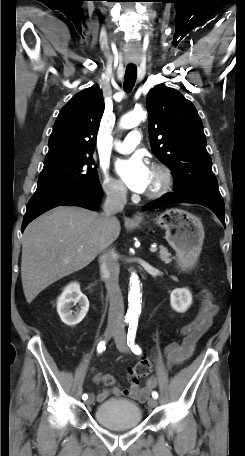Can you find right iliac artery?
<instances>
[{"label": "right iliac artery", "instance_id": "82829eb1", "mask_svg": "<svg viewBox=\"0 0 245 456\" xmlns=\"http://www.w3.org/2000/svg\"><path fill=\"white\" fill-rule=\"evenodd\" d=\"M126 322H128V321H126ZM105 345H106V342H105V341H100L99 344H98V346H97V351H98L99 353L103 352V351L105 350V348H106ZM87 398H88V395H87V394H83V395H82V399H83V400H86Z\"/></svg>", "mask_w": 245, "mask_h": 456}]
</instances>
